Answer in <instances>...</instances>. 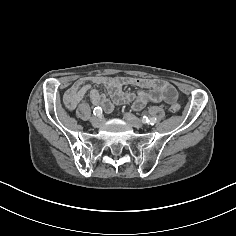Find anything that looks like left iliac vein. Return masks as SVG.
Returning <instances> with one entry per match:
<instances>
[{"label":"left iliac vein","instance_id":"obj_1","mask_svg":"<svg viewBox=\"0 0 236 236\" xmlns=\"http://www.w3.org/2000/svg\"><path fill=\"white\" fill-rule=\"evenodd\" d=\"M124 119L135 128H141L143 126V123L141 122V120H139L137 117H135L131 113H125Z\"/></svg>","mask_w":236,"mask_h":236}]
</instances>
